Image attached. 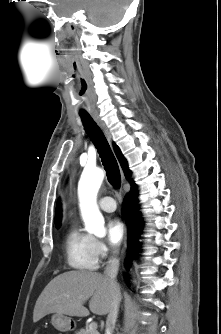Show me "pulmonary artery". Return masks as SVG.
Returning <instances> with one entry per match:
<instances>
[{"mask_svg":"<svg viewBox=\"0 0 221 334\" xmlns=\"http://www.w3.org/2000/svg\"><path fill=\"white\" fill-rule=\"evenodd\" d=\"M99 207L105 212H113L116 210L117 205L113 197L104 196L99 201Z\"/></svg>","mask_w":221,"mask_h":334,"instance_id":"pulmonary-artery-1","label":"pulmonary artery"}]
</instances>
